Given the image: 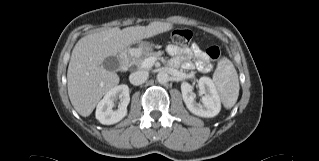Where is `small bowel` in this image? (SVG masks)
<instances>
[{"label":"small bowel","mask_w":319,"mask_h":161,"mask_svg":"<svg viewBox=\"0 0 319 161\" xmlns=\"http://www.w3.org/2000/svg\"><path fill=\"white\" fill-rule=\"evenodd\" d=\"M167 52L172 56L170 64L174 67L181 65L186 70L197 69L204 73L210 71L211 65L206 54L197 44L190 47L169 45ZM192 58H195V61H191Z\"/></svg>","instance_id":"small-bowel-1"}]
</instances>
